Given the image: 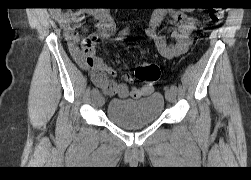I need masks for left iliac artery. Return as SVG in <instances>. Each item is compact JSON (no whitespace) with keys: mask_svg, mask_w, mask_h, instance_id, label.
Here are the masks:
<instances>
[{"mask_svg":"<svg viewBox=\"0 0 251 180\" xmlns=\"http://www.w3.org/2000/svg\"><path fill=\"white\" fill-rule=\"evenodd\" d=\"M170 89L176 92L177 91V86L174 85V84H172L171 87H170Z\"/></svg>","mask_w":251,"mask_h":180,"instance_id":"1","label":"left iliac artery"}]
</instances>
